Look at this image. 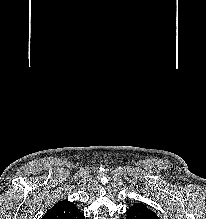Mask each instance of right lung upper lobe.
<instances>
[{
  "label": "right lung upper lobe",
  "instance_id": "1",
  "mask_svg": "<svg viewBox=\"0 0 206 219\" xmlns=\"http://www.w3.org/2000/svg\"><path fill=\"white\" fill-rule=\"evenodd\" d=\"M76 205L68 200L59 201L51 209L47 210L42 219H83Z\"/></svg>",
  "mask_w": 206,
  "mask_h": 219
}]
</instances>
